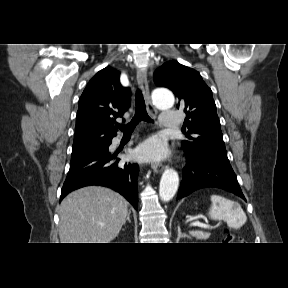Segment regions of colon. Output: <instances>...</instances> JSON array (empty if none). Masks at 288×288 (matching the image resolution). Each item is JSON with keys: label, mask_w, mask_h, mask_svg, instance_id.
Here are the masks:
<instances>
[{"label": "colon", "mask_w": 288, "mask_h": 288, "mask_svg": "<svg viewBox=\"0 0 288 288\" xmlns=\"http://www.w3.org/2000/svg\"><path fill=\"white\" fill-rule=\"evenodd\" d=\"M227 239L231 240V236H230V235H227Z\"/></svg>", "instance_id": "1"}]
</instances>
